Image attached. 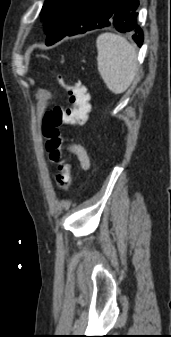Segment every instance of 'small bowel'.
<instances>
[{
	"label": "small bowel",
	"instance_id": "c3829d8e",
	"mask_svg": "<svg viewBox=\"0 0 171 337\" xmlns=\"http://www.w3.org/2000/svg\"><path fill=\"white\" fill-rule=\"evenodd\" d=\"M68 150L75 156L79 166L83 170H87L90 167V158L86 149L80 144H69Z\"/></svg>",
	"mask_w": 171,
	"mask_h": 337
}]
</instances>
